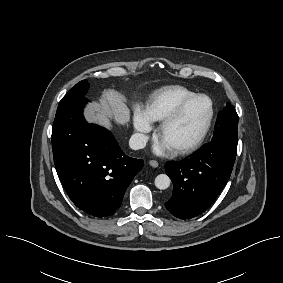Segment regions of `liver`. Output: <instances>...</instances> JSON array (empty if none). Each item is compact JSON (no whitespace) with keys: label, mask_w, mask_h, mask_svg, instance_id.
I'll list each match as a JSON object with an SVG mask.
<instances>
[{"label":"liver","mask_w":283,"mask_h":283,"mask_svg":"<svg viewBox=\"0 0 283 283\" xmlns=\"http://www.w3.org/2000/svg\"><path fill=\"white\" fill-rule=\"evenodd\" d=\"M85 118L88 122L97 123L111 129L110 119L124 125L130 120V110L114 90H105L100 103L94 102L86 108Z\"/></svg>","instance_id":"6515ba94"}]
</instances>
